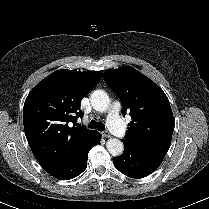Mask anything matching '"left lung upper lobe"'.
<instances>
[{
  "label": "left lung upper lobe",
  "mask_w": 209,
  "mask_h": 209,
  "mask_svg": "<svg viewBox=\"0 0 209 209\" xmlns=\"http://www.w3.org/2000/svg\"><path fill=\"white\" fill-rule=\"evenodd\" d=\"M103 78L120 98L122 114L132 117L122 141L135 148L166 154L174 117L163 90L131 67L108 70Z\"/></svg>",
  "instance_id": "obj_1"
}]
</instances>
